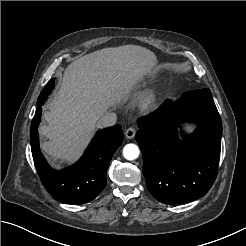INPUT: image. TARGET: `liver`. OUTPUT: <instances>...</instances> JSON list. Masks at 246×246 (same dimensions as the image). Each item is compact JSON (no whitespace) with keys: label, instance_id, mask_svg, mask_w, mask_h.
Here are the masks:
<instances>
[{"label":"liver","instance_id":"liver-1","mask_svg":"<svg viewBox=\"0 0 246 246\" xmlns=\"http://www.w3.org/2000/svg\"><path fill=\"white\" fill-rule=\"evenodd\" d=\"M157 62L152 51L137 45L104 48L73 61L44 112L47 124L39 132L47 140L41 149L61 164L74 163L98 128V119L127 99Z\"/></svg>","mask_w":246,"mask_h":246}]
</instances>
